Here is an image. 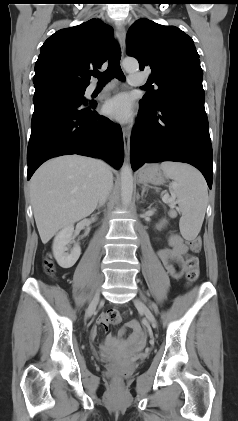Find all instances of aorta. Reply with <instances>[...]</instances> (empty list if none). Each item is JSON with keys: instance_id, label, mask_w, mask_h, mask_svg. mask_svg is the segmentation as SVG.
Masks as SVG:
<instances>
[{"instance_id": "obj_1", "label": "aorta", "mask_w": 238, "mask_h": 421, "mask_svg": "<svg viewBox=\"0 0 238 421\" xmlns=\"http://www.w3.org/2000/svg\"><path fill=\"white\" fill-rule=\"evenodd\" d=\"M122 67L127 72H135L139 69V63L134 58H125ZM133 193L132 169L128 163L124 162L121 168V198L123 206L130 205Z\"/></svg>"}]
</instances>
